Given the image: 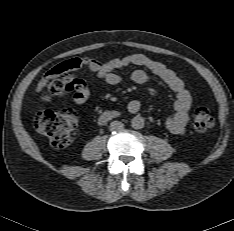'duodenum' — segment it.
I'll use <instances>...</instances> for the list:
<instances>
[{"label": "duodenum", "instance_id": "410a0bca", "mask_svg": "<svg viewBox=\"0 0 234 231\" xmlns=\"http://www.w3.org/2000/svg\"><path fill=\"white\" fill-rule=\"evenodd\" d=\"M118 115V113L116 111H104L98 118L99 122L104 123L107 122L109 120H111L112 118L116 117Z\"/></svg>", "mask_w": 234, "mask_h": 231}]
</instances>
